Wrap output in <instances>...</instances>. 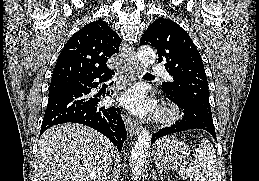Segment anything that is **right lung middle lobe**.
Returning <instances> with one entry per match:
<instances>
[{
	"label": "right lung middle lobe",
	"instance_id": "right-lung-middle-lobe-1",
	"mask_svg": "<svg viewBox=\"0 0 259 181\" xmlns=\"http://www.w3.org/2000/svg\"><path fill=\"white\" fill-rule=\"evenodd\" d=\"M60 85H50L49 94L58 89Z\"/></svg>",
	"mask_w": 259,
	"mask_h": 181
}]
</instances>
